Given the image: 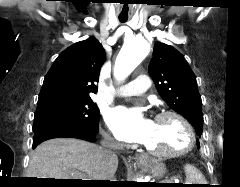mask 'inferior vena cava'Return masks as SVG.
Instances as JSON below:
<instances>
[{
  "label": "inferior vena cava",
  "instance_id": "1",
  "mask_svg": "<svg viewBox=\"0 0 240 187\" xmlns=\"http://www.w3.org/2000/svg\"><path fill=\"white\" fill-rule=\"evenodd\" d=\"M120 145L110 136L105 134L101 142V154L104 160L110 161L116 158L114 150L119 148Z\"/></svg>",
  "mask_w": 240,
  "mask_h": 187
}]
</instances>
